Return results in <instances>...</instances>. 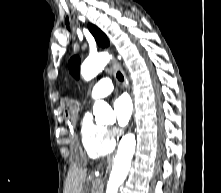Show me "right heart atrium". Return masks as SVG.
<instances>
[{
  "label": "right heart atrium",
  "mask_w": 221,
  "mask_h": 193,
  "mask_svg": "<svg viewBox=\"0 0 221 193\" xmlns=\"http://www.w3.org/2000/svg\"><path fill=\"white\" fill-rule=\"evenodd\" d=\"M107 134L112 139L114 137V135H115V131L113 129H111V128H108L107 129Z\"/></svg>",
  "instance_id": "obj_1"
}]
</instances>
